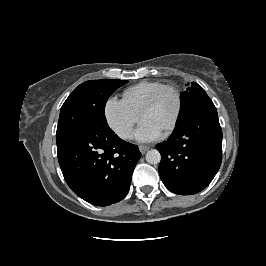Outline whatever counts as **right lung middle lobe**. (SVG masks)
I'll use <instances>...</instances> for the list:
<instances>
[{
    "instance_id": "1",
    "label": "right lung middle lobe",
    "mask_w": 266,
    "mask_h": 266,
    "mask_svg": "<svg viewBox=\"0 0 266 266\" xmlns=\"http://www.w3.org/2000/svg\"><path fill=\"white\" fill-rule=\"evenodd\" d=\"M127 81L91 80L80 84L60 110L56 131L57 147L97 128L108 127L104 111L110 95Z\"/></svg>"
}]
</instances>
